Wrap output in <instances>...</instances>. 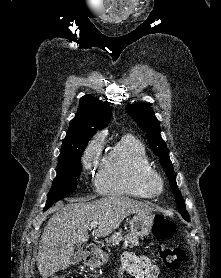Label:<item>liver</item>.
Segmentation results:
<instances>
[{
    "instance_id": "liver-1",
    "label": "liver",
    "mask_w": 221,
    "mask_h": 278,
    "mask_svg": "<svg viewBox=\"0 0 221 278\" xmlns=\"http://www.w3.org/2000/svg\"><path fill=\"white\" fill-rule=\"evenodd\" d=\"M152 208L125 196H110L85 203L73 199L48 221L41 236L37 265L43 278L69 267L75 245L88 241L92 222H98L95 236L106 237L134 213H151Z\"/></svg>"
}]
</instances>
